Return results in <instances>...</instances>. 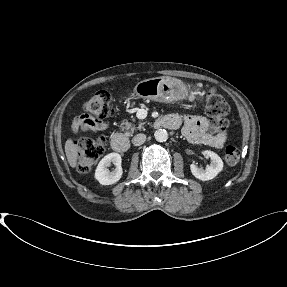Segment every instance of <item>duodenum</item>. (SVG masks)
Returning <instances> with one entry per match:
<instances>
[{"label": "duodenum", "mask_w": 287, "mask_h": 287, "mask_svg": "<svg viewBox=\"0 0 287 287\" xmlns=\"http://www.w3.org/2000/svg\"><path fill=\"white\" fill-rule=\"evenodd\" d=\"M159 123L168 129H174L175 123L168 117H163L159 120ZM111 147L115 152H126L130 148L128 139L120 133L114 134L110 140Z\"/></svg>", "instance_id": "410a0bca"}]
</instances>
